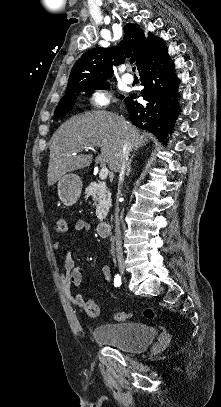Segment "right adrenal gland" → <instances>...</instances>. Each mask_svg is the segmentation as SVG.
Instances as JSON below:
<instances>
[{"instance_id":"right-adrenal-gland-1","label":"right adrenal gland","mask_w":221,"mask_h":407,"mask_svg":"<svg viewBox=\"0 0 221 407\" xmlns=\"http://www.w3.org/2000/svg\"><path fill=\"white\" fill-rule=\"evenodd\" d=\"M134 156H135V155H133V156L131 157V159L128 161L127 168H126V174H127V176H129V174H130V172H131V163H132V159H133Z\"/></svg>"}]
</instances>
